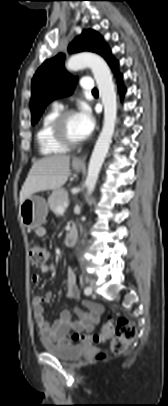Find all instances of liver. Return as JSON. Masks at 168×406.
Wrapping results in <instances>:
<instances>
[{"instance_id": "obj_1", "label": "liver", "mask_w": 168, "mask_h": 406, "mask_svg": "<svg viewBox=\"0 0 168 406\" xmlns=\"http://www.w3.org/2000/svg\"><path fill=\"white\" fill-rule=\"evenodd\" d=\"M70 175V157L54 155L36 161L20 191V204L34 193L59 190Z\"/></svg>"}]
</instances>
